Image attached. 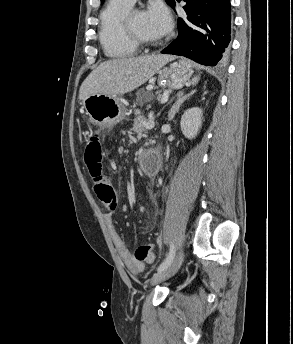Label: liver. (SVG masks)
Wrapping results in <instances>:
<instances>
[{"label":"liver","instance_id":"obj_1","mask_svg":"<svg viewBox=\"0 0 293 344\" xmlns=\"http://www.w3.org/2000/svg\"><path fill=\"white\" fill-rule=\"evenodd\" d=\"M170 55L120 58L101 63L82 83L79 99L93 94L122 95L129 93L148 81L166 63Z\"/></svg>","mask_w":293,"mask_h":344}]
</instances>
